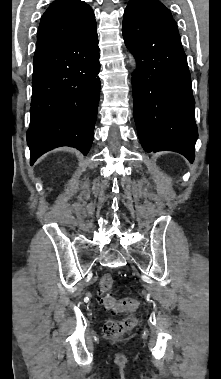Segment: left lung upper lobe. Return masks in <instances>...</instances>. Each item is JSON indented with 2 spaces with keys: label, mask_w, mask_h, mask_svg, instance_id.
Segmentation results:
<instances>
[{
  "label": "left lung upper lobe",
  "mask_w": 221,
  "mask_h": 379,
  "mask_svg": "<svg viewBox=\"0 0 221 379\" xmlns=\"http://www.w3.org/2000/svg\"><path fill=\"white\" fill-rule=\"evenodd\" d=\"M130 2H138L161 17L173 19L171 12L159 0H131Z\"/></svg>",
  "instance_id": "1"
}]
</instances>
